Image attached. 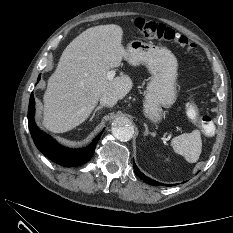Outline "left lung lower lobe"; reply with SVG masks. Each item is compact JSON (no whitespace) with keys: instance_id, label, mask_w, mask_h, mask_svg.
<instances>
[{"instance_id":"obj_1","label":"left lung lower lobe","mask_w":233,"mask_h":233,"mask_svg":"<svg viewBox=\"0 0 233 233\" xmlns=\"http://www.w3.org/2000/svg\"><path fill=\"white\" fill-rule=\"evenodd\" d=\"M133 166L136 175L139 176L142 180L152 185H158L156 181L151 180L150 178L146 177L142 172H140L135 163H133Z\"/></svg>"}]
</instances>
